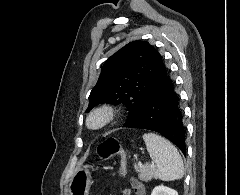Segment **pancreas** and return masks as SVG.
Masks as SVG:
<instances>
[{
    "label": "pancreas",
    "mask_w": 240,
    "mask_h": 195,
    "mask_svg": "<svg viewBox=\"0 0 240 195\" xmlns=\"http://www.w3.org/2000/svg\"><path fill=\"white\" fill-rule=\"evenodd\" d=\"M135 169L142 181H151L152 177H155V179L158 177L155 167H151V165H143V167H135Z\"/></svg>",
    "instance_id": "obj_1"
}]
</instances>
